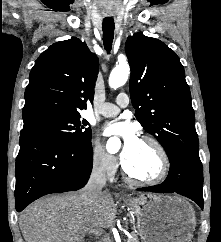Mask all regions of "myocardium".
<instances>
[{"instance_id":"myocardium-1","label":"myocardium","mask_w":221,"mask_h":242,"mask_svg":"<svg viewBox=\"0 0 221 242\" xmlns=\"http://www.w3.org/2000/svg\"><path fill=\"white\" fill-rule=\"evenodd\" d=\"M140 140L143 142L150 143L154 147V149L158 155L159 161H160V169H159L158 174L153 178L137 177L129 172V170L127 169V167L125 165L124 160H122L123 172H124L126 178L133 183H137V184H141V185H156V184L160 183L161 181H163L168 174V171H169L168 154H167L165 148L163 147V145L157 139H155L151 136H142Z\"/></svg>"}]
</instances>
